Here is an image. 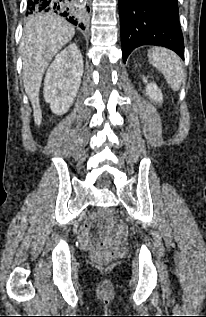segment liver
Returning a JSON list of instances; mask_svg holds the SVG:
<instances>
[{
    "label": "liver",
    "mask_w": 206,
    "mask_h": 317,
    "mask_svg": "<svg viewBox=\"0 0 206 317\" xmlns=\"http://www.w3.org/2000/svg\"><path fill=\"white\" fill-rule=\"evenodd\" d=\"M75 28L52 13L39 14L28 20L21 39L22 73L26 94L34 111V121L41 124L39 90L43 75L53 56L68 43Z\"/></svg>",
    "instance_id": "obj_1"
}]
</instances>
